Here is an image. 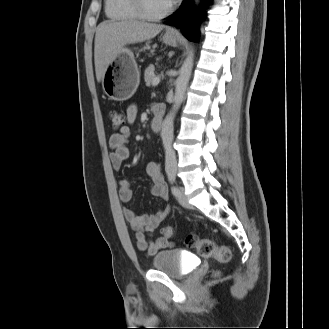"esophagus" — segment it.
Returning <instances> with one entry per match:
<instances>
[{
	"label": "esophagus",
	"instance_id": "1",
	"mask_svg": "<svg viewBox=\"0 0 329 329\" xmlns=\"http://www.w3.org/2000/svg\"><path fill=\"white\" fill-rule=\"evenodd\" d=\"M170 33H171V34H174V31H173V30H171V31H170Z\"/></svg>",
	"mask_w": 329,
	"mask_h": 329
}]
</instances>
